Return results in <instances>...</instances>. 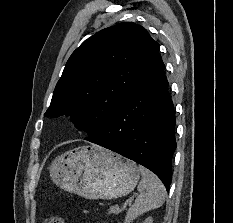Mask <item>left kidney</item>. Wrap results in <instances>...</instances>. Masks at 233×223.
<instances>
[{
  "mask_svg": "<svg viewBox=\"0 0 233 223\" xmlns=\"http://www.w3.org/2000/svg\"><path fill=\"white\" fill-rule=\"evenodd\" d=\"M143 223H153L152 217H146L145 221Z\"/></svg>",
  "mask_w": 233,
  "mask_h": 223,
  "instance_id": "left-kidney-1",
  "label": "left kidney"
}]
</instances>
